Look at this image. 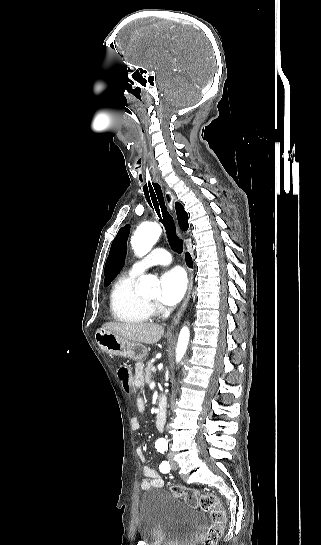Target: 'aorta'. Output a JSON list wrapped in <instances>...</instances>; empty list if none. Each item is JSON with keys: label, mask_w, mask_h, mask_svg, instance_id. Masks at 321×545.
Masks as SVG:
<instances>
[{"label": "aorta", "mask_w": 321, "mask_h": 545, "mask_svg": "<svg viewBox=\"0 0 321 545\" xmlns=\"http://www.w3.org/2000/svg\"><path fill=\"white\" fill-rule=\"evenodd\" d=\"M162 233L161 227L156 223H142L137 227L132 239L131 245L138 256L146 255L158 241ZM158 288V282L152 275L142 276L139 283V291L142 293L156 292ZM190 338V331L185 326L181 329L177 348H176V360L180 361L186 353Z\"/></svg>", "instance_id": "obj_1"}]
</instances>
